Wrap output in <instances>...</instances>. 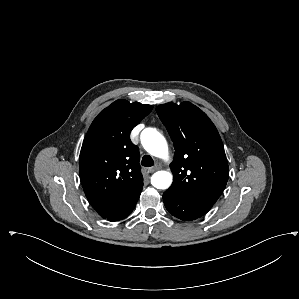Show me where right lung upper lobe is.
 <instances>
[{"mask_svg":"<svg viewBox=\"0 0 299 299\" xmlns=\"http://www.w3.org/2000/svg\"><path fill=\"white\" fill-rule=\"evenodd\" d=\"M152 108L117 100L99 113L85 136L79 157L80 178L89 203L103 218L142 190L139 151L129 135Z\"/></svg>","mask_w":299,"mask_h":299,"instance_id":"cb5924a9","label":"right lung upper lobe"}]
</instances>
